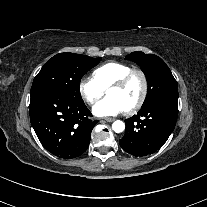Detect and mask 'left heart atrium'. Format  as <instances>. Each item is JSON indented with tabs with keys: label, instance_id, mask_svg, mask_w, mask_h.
<instances>
[{
	"label": "left heart atrium",
	"instance_id": "obj_1",
	"mask_svg": "<svg viewBox=\"0 0 207 207\" xmlns=\"http://www.w3.org/2000/svg\"><path fill=\"white\" fill-rule=\"evenodd\" d=\"M92 111L98 117H110L125 112V108L117 99L108 96L98 101Z\"/></svg>",
	"mask_w": 207,
	"mask_h": 207
}]
</instances>
